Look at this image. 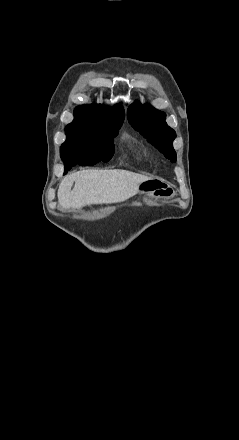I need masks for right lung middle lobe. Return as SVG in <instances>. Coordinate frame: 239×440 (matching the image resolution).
I'll list each match as a JSON object with an SVG mask.
<instances>
[{
  "label": "right lung middle lobe",
  "instance_id": "dd1d6c3e",
  "mask_svg": "<svg viewBox=\"0 0 239 440\" xmlns=\"http://www.w3.org/2000/svg\"><path fill=\"white\" fill-rule=\"evenodd\" d=\"M121 125L96 120L74 119L65 128L66 141L61 150L72 147H97L104 150H114V137Z\"/></svg>",
  "mask_w": 239,
  "mask_h": 440
}]
</instances>
